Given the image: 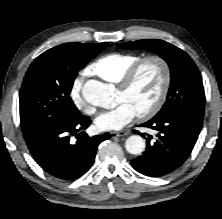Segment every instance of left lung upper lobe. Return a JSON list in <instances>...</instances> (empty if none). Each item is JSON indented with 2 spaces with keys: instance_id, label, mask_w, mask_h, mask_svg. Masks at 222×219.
<instances>
[{
  "instance_id": "1",
  "label": "left lung upper lobe",
  "mask_w": 222,
  "mask_h": 219,
  "mask_svg": "<svg viewBox=\"0 0 222 219\" xmlns=\"http://www.w3.org/2000/svg\"><path fill=\"white\" fill-rule=\"evenodd\" d=\"M118 46L128 50L155 52L168 63L171 72L168 98L155 117H161L173 111L189 112L203 117L205 94L201 75L186 52L159 39L119 43Z\"/></svg>"
}]
</instances>
